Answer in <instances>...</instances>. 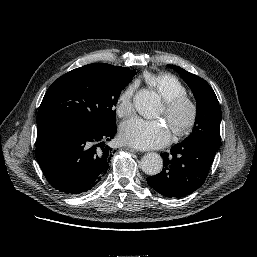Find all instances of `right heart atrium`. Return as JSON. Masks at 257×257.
<instances>
[{
    "label": "right heart atrium",
    "instance_id": "1",
    "mask_svg": "<svg viewBox=\"0 0 257 257\" xmlns=\"http://www.w3.org/2000/svg\"><path fill=\"white\" fill-rule=\"evenodd\" d=\"M135 85L129 84L119 95L117 99L116 112L119 117L127 118L132 115L134 110L133 96Z\"/></svg>",
    "mask_w": 257,
    "mask_h": 257
}]
</instances>
